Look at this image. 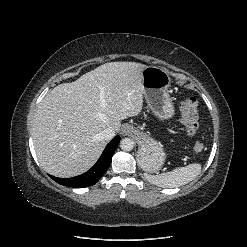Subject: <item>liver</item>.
Wrapping results in <instances>:
<instances>
[{
  "label": "liver",
  "mask_w": 247,
  "mask_h": 247,
  "mask_svg": "<svg viewBox=\"0 0 247 247\" xmlns=\"http://www.w3.org/2000/svg\"><path fill=\"white\" fill-rule=\"evenodd\" d=\"M146 65L109 62L52 89L32 125L38 160L49 174L67 178L91 168L106 146L102 131L142 111Z\"/></svg>",
  "instance_id": "obj_1"
}]
</instances>
